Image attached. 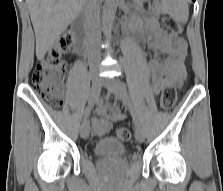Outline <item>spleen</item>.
<instances>
[{"label": "spleen", "mask_w": 223, "mask_h": 191, "mask_svg": "<svg viewBox=\"0 0 223 191\" xmlns=\"http://www.w3.org/2000/svg\"><path fill=\"white\" fill-rule=\"evenodd\" d=\"M170 13L182 22L188 19V4L187 0H170Z\"/></svg>", "instance_id": "spleen-1"}]
</instances>
